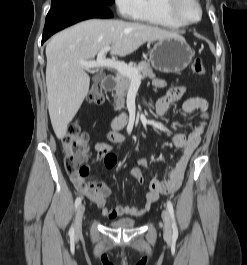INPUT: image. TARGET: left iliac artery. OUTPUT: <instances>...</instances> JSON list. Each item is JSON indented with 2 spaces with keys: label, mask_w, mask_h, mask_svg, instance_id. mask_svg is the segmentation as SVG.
<instances>
[{
  "label": "left iliac artery",
  "mask_w": 247,
  "mask_h": 265,
  "mask_svg": "<svg viewBox=\"0 0 247 265\" xmlns=\"http://www.w3.org/2000/svg\"><path fill=\"white\" fill-rule=\"evenodd\" d=\"M167 208H168L169 214H170L171 219H172L173 238L177 239V237H178V228H177V225H176V222H175V219H174L173 204L169 200L167 201Z\"/></svg>",
  "instance_id": "left-iliac-artery-1"
}]
</instances>
